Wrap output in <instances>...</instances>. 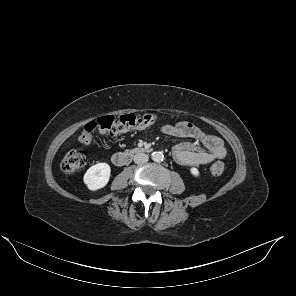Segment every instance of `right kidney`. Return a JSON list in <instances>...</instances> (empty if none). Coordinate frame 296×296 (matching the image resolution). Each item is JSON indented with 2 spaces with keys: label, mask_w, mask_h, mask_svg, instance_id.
<instances>
[{
  "label": "right kidney",
  "mask_w": 296,
  "mask_h": 296,
  "mask_svg": "<svg viewBox=\"0 0 296 296\" xmlns=\"http://www.w3.org/2000/svg\"><path fill=\"white\" fill-rule=\"evenodd\" d=\"M110 175V166L107 163H98L86 171L83 180L89 190L96 191L107 185Z\"/></svg>",
  "instance_id": "1"
}]
</instances>
